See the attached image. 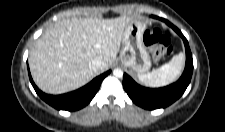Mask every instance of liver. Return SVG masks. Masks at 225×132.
Returning <instances> with one entry per match:
<instances>
[{"instance_id":"obj_1","label":"liver","mask_w":225,"mask_h":132,"mask_svg":"<svg viewBox=\"0 0 225 132\" xmlns=\"http://www.w3.org/2000/svg\"><path fill=\"white\" fill-rule=\"evenodd\" d=\"M134 18H72L57 22L36 41L29 55L35 84L45 93L63 94L100 74L89 64L99 58L104 71L115 62L127 24Z\"/></svg>"}]
</instances>
